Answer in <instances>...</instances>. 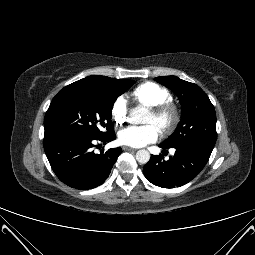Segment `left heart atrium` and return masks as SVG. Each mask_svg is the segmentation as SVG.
<instances>
[{"label": "left heart atrium", "mask_w": 255, "mask_h": 255, "mask_svg": "<svg viewBox=\"0 0 255 255\" xmlns=\"http://www.w3.org/2000/svg\"><path fill=\"white\" fill-rule=\"evenodd\" d=\"M160 136V129L154 124L132 125L119 132V141L127 146L142 147L155 142Z\"/></svg>", "instance_id": "1"}]
</instances>
